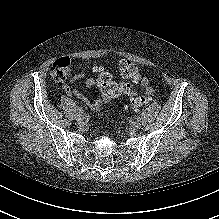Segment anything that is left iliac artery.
<instances>
[{"label":"left iliac artery","mask_w":219,"mask_h":219,"mask_svg":"<svg viewBox=\"0 0 219 219\" xmlns=\"http://www.w3.org/2000/svg\"><path fill=\"white\" fill-rule=\"evenodd\" d=\"M136 119H137V121H140V120H141V117L138 116Z\"/></svg>","instance_id":"obj_1"}]
</instances>
